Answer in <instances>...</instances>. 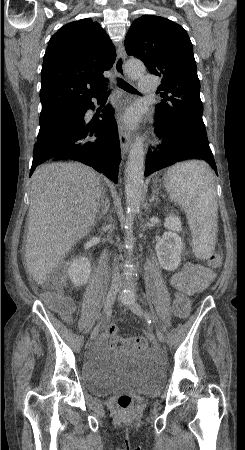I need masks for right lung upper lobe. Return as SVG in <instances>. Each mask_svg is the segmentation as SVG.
Wrapping results in <instances>:
<instances>
[{
    "label": "right lung upper lobe",
    "mask_w": 245,
    "mask_h": 450,
    "mask_svg": "<svg viewBox=\"0 0 245 450\" xmlns=\"http://www.w3.org/2000/svg\"><path fill=\"white\" fill-rule=\"evenodd\" d=\"M115 61L112 41L89 18L71 22L50 39L41 71L42 111L77 107L100 93Z\"/></svg>",
    "instance_id": "obj_1"
}]
</instances>
